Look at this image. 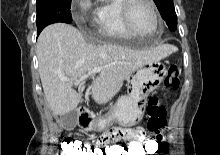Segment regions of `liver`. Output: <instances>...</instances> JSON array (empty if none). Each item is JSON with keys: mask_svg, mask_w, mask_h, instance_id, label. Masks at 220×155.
Masks as SVG:
<instances>
[{"mask_svg": "<svg viewBox=\"0 0 220 155\" xmlns=\"http://www.w3.org/2000/svg\"><path fill=\"white\" fill-rule=\"evenodd\" d=\"M163 45L143 50L105 44L87 43L81 32L71 25L55 23L47 26L37 41L39 74L45 98L54 115H65L76 109L80 95L73 81L101 67L92 84V97L103 104L122 88L126 78L145 64L160 61L172 52ZM65 78L68 81H63Z\"/></svg>", "mask_w": 220, "mask_h": 155, "instance_id": "1", "label": "liver"}]
</instances>
